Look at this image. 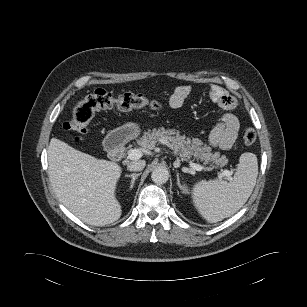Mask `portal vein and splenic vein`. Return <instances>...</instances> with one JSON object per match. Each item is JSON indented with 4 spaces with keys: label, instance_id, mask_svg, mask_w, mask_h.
<instances>
[{
    "label": "portal vein and splenic vein",
    "instance_id": "obj_1",
    "mask_svg": "<svg viewBox=\"0 0 307 307\" xmlns=\"http://www.w3.org/2000/svg\"><path fill=\"white\" fill-rule=\"evenodd\" d=\"M141 156H142V152L139 149H131V150H129L127 157L130 160H137V159L141 158ZM190 167L195 171H202V170L205 169L204 166L193 163V162H190ZM222 175L230 178L231 172L229 170H224L222 172Z\"/></svg>",
    "mask_w": 307,
    "mask_h": 307
}]
</instances>
